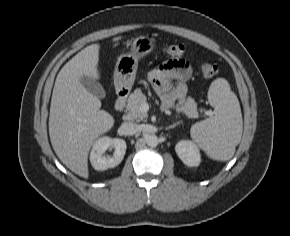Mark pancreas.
Segmentation results:
<instances>
[{"instance_id":"pancreas-1","label":"pancreas","mask_w":290,"mask_h":236,"mask_svg":"<svg viewBox=\"0 0 290 236\" xmlns=\"http://www.w3.org/2000/svg\"><path fill=\"white\" fill-rule=\"evenodd\" d=\"M146 101L147 98L145 94L142 93L141 89H136L130 94L126 105V112L129 119L140 121L148 117V114L142 111V105H144ZM175 109L178 114L183 113L188 118H197L199 115L197 104L191 97L178 103Z\"/></svg>"}]
</instances>
